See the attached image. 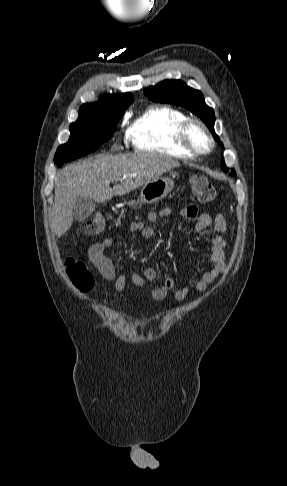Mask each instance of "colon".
Here are the masks:
<instances>
[{
	"label": "colon",
	"mask_w": 287,
	"mask_h": 486,
	"mask_svg": "<svg viewBox=\"0 0 287 486\" xmlns=\"http://www.w3.org/2000/svg\"><path fill=\"white\" fill-rule=\"evenodd\" d=\"M190 186L195 197L203 203H213L217 199L216 189L211 180L205 176L196 175L191 178ZM105 228V220L101 215H93L85 220L81 230L86 235H99ZM66 271L73 284L81 291H88L94 285V277L89 267L81 260L69 258L66 260Z\"/></svg>",
	"instance_id": "1"
}]
</instances>
